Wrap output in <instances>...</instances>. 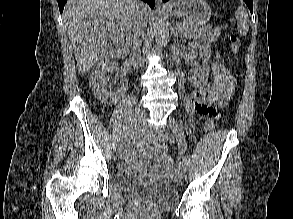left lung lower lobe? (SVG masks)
<instances>
[{"mask_svg":"<svg viewBox=\"0 0 293 219\" xmlns=\"http://www.w3.org/2000/svg\"><path fill=\"white\" fill-rule=\"evenodd\" d=\"M168 0H163V2H166ZM247 6L249 7L250 9V12L253 13V0H243Z\"/></svg>","mask_w":293,"mask_h":219,"instance_id":"0a47b994","label":"left lung lower lobe"}]
</instances>
